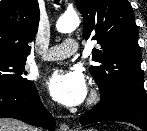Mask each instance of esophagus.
<instances>
[{
  "label": "esophagus",
  "mask_w": 147,
  "mask_h": 131,
  "mask_svg": "<svg viewBox=\"0 0 147 131\" xmlns=\"http://www.w3.org/2000/svg\"><path fill=\"white\" fill-rule=\"evenodd\" d=\"M59 131H72L69 129V126L66 123L60 125Z\"/></svg>",
  "instance_id": "esophagus-1"
}]
</instances>
